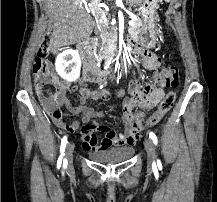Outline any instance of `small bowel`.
I'll return each instance as SVG.
<instances>
[{
    "label": "small bowel",
    "mask_w": 217,
    "mask_h": 202,
    "mask_svg": "<svg viewBox=\"0 0 217 202\" xmlns=\"http://www.w3.org/2000/svg\"><path fill=\"white\" fill-rule=\"evenodd\" d=\"M142 58L143 65L147 69H155L159 66V57L148 51L138 50ZM69 85L66 83H59V93L63 99L58 100L61 103H66L67 99L65 92L68 90ZM77 90L80 99V105L73 108L71 111L73 114L81 115L83 120L88 122L92 119H100L104 116V113L97 111L92 107L85 105V102L91 98L94 100H108L112 96L122 97L125 94L123 88H99L90 90L86 84L74 85ZM137 101L133 98H125L122 102V115L121 118L125 123V128L122 133H116L112 128L108 126L98 127V131H80V136H83V141H109V142H81V147H114L123 146L131 147L136 144L140 134L147 128L145 124L146 114L143 111L134 113V109L137 106ZM54 121H61V116H54ZM76 124V123H72ZM59 127L63 128L64 123H59Z\"/></svg>",
    "instance_id": "1"
}]
</instances>
